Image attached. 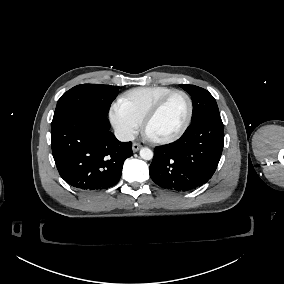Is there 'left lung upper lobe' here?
Segmentation results:
<instances>
[{
    "mask_svg": "<svg viewBox=\"0 0 284 284\" xmlns=\"http://www.w3.org/2000/svg\"><path fill=\"white\" fill-rule=\"evenodd\" d=\"M181 87L192 98L193 114L191 122L209 115H220L216 100L207 90L188 84H181Z\"/></svg>",
    "mask_w": 284,
    "mask_h": 284,
    "instance_id": "5c2ea615",
    "label": "left lung upper lobe"
}]
</instances>
